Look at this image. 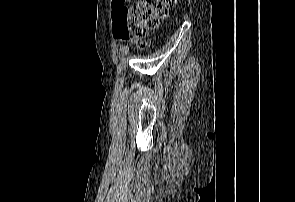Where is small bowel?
Returning <instances> with one entry per match:
<instances>
[{"mask_svg":"<svg viewBox=\"0 0 295 202\" xmlns=\"http://www.w3.org/2000/svg\"><path fill=\"white\" fill-rule=\"evenodd\" d=\"M127 0H112L111 6L113 9L114 14L116 15L122 9L125 8Z\"/></svg>","mask_w":295,"mask_h":202,"instance_id":"1","label":"small bowel"}]
</instances>
